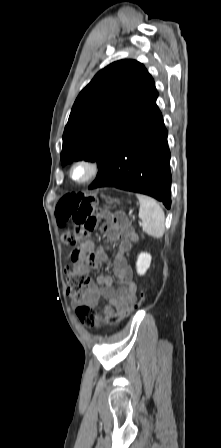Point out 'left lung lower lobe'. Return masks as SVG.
<instances>
[{
    "label": "left lung lower lobe",
    "instance_id": "0a47b994",
    "mask_svg": "<svg viewBox=\"0 0 221 448\" xmlns=\"http://www.w3.org/2000/svg\"><path fill=\"white\" fill-rule=\"evenodd\" d=\"M168 132L156 103L116 147L89 189L116 187L149 195L171 206Z\"/></svg>",
    "mask_w": 221,
    "mask_h": 448
}]
</instances>
